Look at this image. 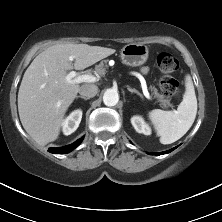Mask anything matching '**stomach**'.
Masks as SVG:
<instances>
[{"label":"stomach","mask_w":222,"mask_h":222,"mask_svg":"<svg viewBox=\"0 0 222 222\" xmlns=\"http://www.w3.org/2000/svg\"><path fill=\"white\" fill-rule=\"evenodd\" d=\"M120 54L124 64L136 67L147 61L149 48L143 43H130L122 48Z\"/></svg>","instance_id":"1"}]
</instances>
